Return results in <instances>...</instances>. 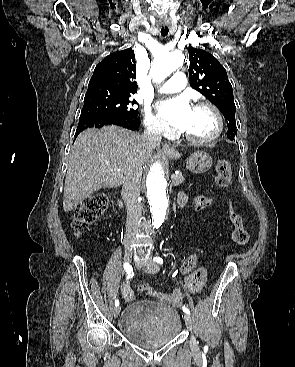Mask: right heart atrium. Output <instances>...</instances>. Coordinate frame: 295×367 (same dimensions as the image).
<instances>
[{
	"mask_svg": "<svg viewBox=\"0 0 295 367\" xmlns=\"http://www.w3.org/2000/svg\"><path fill=\"white\" fill-rule=\"evenodd\" d=\"M143 123L148 132L156 136H164L169 133L168 127L150 110L145 109Z\"/></svg>",
	"mask_w": 295,
	"mask_h": 367,
	"instance_id": "obj_1",
	"label": "right heart atrium"
}]
</instances>
